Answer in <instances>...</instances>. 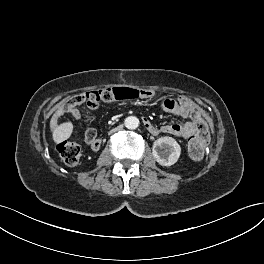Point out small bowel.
<instances>
[{"mask_svg":"<svg viewBox=\"0 0 264 264\" xmlns=\"http://www.w3.org/2000/svg\"><path fill=\"white\" fill-rule=\"evenodd\" d=\"M155 96L154 91L149 89H144L140 91V97L143 99H151ZM81 103V102H80ZM80 103H71L66 101L63 105H61L56 113L53 116V127L56 128L59 124V120L61 116L68 112L76 119H82L83 114L77 108V105ZM91 110H95L98 105H88ZM163 108L167 112L175 114L183 119H187L191 112V104L184 100H173V99H166L163 103ZM143 123L145 128L154 136L159 134H171L174 136L182 137V138H189L194 135L197 131V125L194 122L186 121L183 124L173 123V124H166L161 127H157L153 125L148 119L144 118ZM72 127L70 124L65 125V135L69 136L71 134ZM86 143L90 146V148L94 151H97L101 146V141L97 137L96 131L94 128H89L85 134Z\"/></svg>","mask_w":264,"mask_h":264,"instance_id":"small-bowel-1","label":"small bowel"}]
</instances>
